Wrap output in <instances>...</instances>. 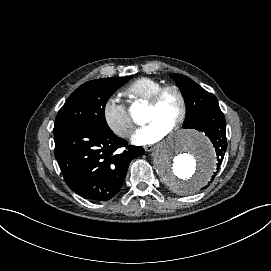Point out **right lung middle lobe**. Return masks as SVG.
Masks as SVG:
<instances>
[{
    "label": "right lung middle lobe",
    "mask_w": 271,
    "mask_h": 271,
    "mask_svg": "<svg viewBox=\"0 0 271 271\" xmlns=\"http://www.w3.org/2000/svg\"><path fill=\"white\" fill-rule=\"evenodd\" d=\"M130 77L102 78L79 86L59 110L54 124V135L73 127L108 129L105 105L109 97Z\"/></svg>",
    "instance_id": "1"
}]
</instances>
